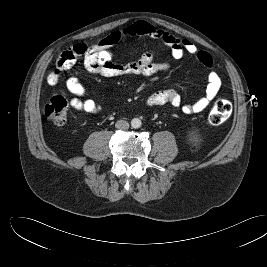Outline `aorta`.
Segmentation results:
<instances>
[{
    "label": "aorta",
    "mask_w": 267,
    "mask_h": 267,
    "mask_svg": "<svg viewBox=\"0 0 267 267\" xmlns=\"http://www.w3.org/2000/svg\"><path fill=\"white\" fill-rule=\"evenodd\" d=\"M141 125H142V122H141V120L139 118H133L131 120V126H132V128L137 129V128H140Z\"/></svg>",
    "instance_id": "aorta-1"
}]
</instances>
